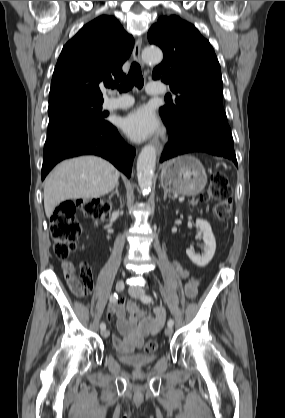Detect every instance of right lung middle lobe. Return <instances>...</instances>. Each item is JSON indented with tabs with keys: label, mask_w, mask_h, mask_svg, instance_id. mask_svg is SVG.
Segmentation results:
<instances>
[{
	"label": "right lung middle lobe",
	"mask_w": 285,
	"mask_h": 418,
	"mask_svg": "<svg viewBox=\"0 0 285 418\" xmlns=\"http://www.w3.org/2000/svg\"><path fill=\"white\" fill-rule=\"evenodd\" d=\"M101 109L102 102L95 101H68L50 105L48 138L75 127L106 125V114Z\"/></svg>",
	"instance_id": "right-lung-middle-lobe-1"
}]
</instances>
